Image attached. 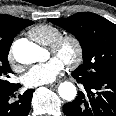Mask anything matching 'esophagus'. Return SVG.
<instances>
[{
    "label": "esophagus",
    "mask_w": 116,
    "mask_h": 116,
    "mask_svg": "<svg viewBox=\"0 0 116 116\" xmlns=\"http://www.w3.org/2000/svg\"><path fill=\"white\" fill-rule=\"evenodd\" d=\"M58 85V83H52V84H48V87H56Z\"/></svg>",
    "instance_id": "34e87169"
}]
</instances>
